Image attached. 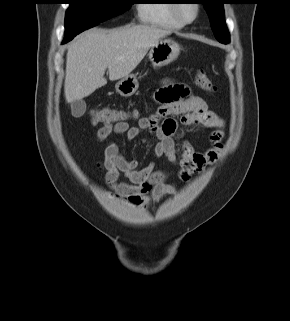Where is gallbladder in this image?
Instances as JSON below:
<instances>
[{
  "instance_id": "bac80fb5",
  "label": "gallbladder",
  "mask_w": 290,
  "mask_h": 321,
  "mask_svg": "<svg viewBox=\"0 0 290 321\" xmlns=\"http://www.w3.org/2000/svg\"><path fill=\"white\" fill-rule=\"evenodd\" d=\"M72 116L81 117L86 111V103L83 100H75L70 103Z\"/></svg>"
}]
</instances>
